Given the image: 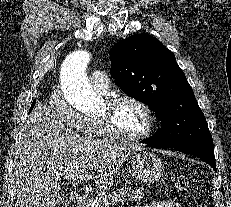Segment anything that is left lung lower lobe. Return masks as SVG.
Masks as SVG:
<instances>
[{
    "mask_svg": "<svg viewBox=\"0 0 231 207\" xmlns=\"http://www.w3.org/2000/svg\"><path fill=\"white\" fill-rule=\"evenodd\" d=\"M147 146L153 147V148H162L154 144L152 141H147ZM168 148H174L176 150L189 153L192 155H195L208 163L215 171H216V163H215V157H214V146L213 145H188V146H181V147H168Z\"/></svg>",
    "mask_w": 231,
    "mask_h": 207,
    "instance_id": "obj_1",
    "label": "left lung lower lobe"
}]
</instances>
